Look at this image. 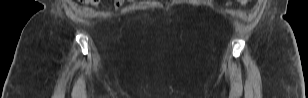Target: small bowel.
<instances>
[{
  "instance_id": "c3829d8e",
  "label": "small bowel",
  "mask_w": 308,
  "mask_h": 98,
  "mask_svg": "<svg viewBox=\"0 0 308 98\" xmlns=\"http://www.w3.org/2000/svg\"><path fill=\"white\" fill-rule=\"evenodd\" d=\"M88 3H90L94 8H99L100 1L99 0H88ZM123 3V0H117L115 1L116 6H120Z\"/></svg>"
}]
</instances>
